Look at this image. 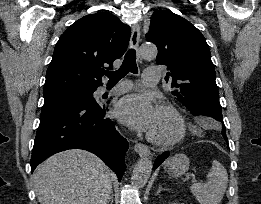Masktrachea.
Segmentation results:
<instances>
[{"mask_svg":"<svg viewBox=\"0 0 261 204\" xmlns=\"http://www.w3.org/2000/svg\"><path fill=\"white\" fill-rule=\"evenodd\" d=\"M129 72L134 74L138 72V67L136 64V51L134 49L128 50V52L125 54L123 63L118 70L108 71L105 73V75L109 78V84H116Z\"/></svg>","mask_w":261,"mask_h":204,"instance_id":"1","label":"trachea"}]
</instances>
